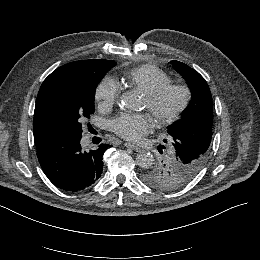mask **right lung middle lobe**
<instances>
[{
	"label": "right lung middle lobe",
	"instance_id": "1",
	"mask_svg": "<svg viewBox=\"0 0 260 260\" xmlns=\"http://www.w3.org/2000/svg\"><path fill=\"white\" fill-rule=\"evenodd\" d=\"M108 70H86L54 79L42 98L38 132L50 141L81 138L82 124L95 111V89Z\"/></svg>",
	"mask_w": 260,
	"mask_h": 260
}]
</instances>
